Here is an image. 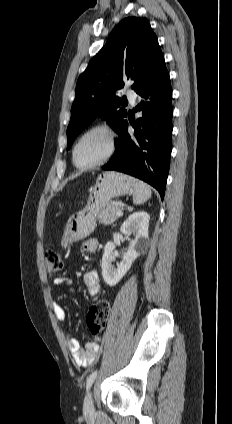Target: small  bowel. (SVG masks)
I'll list each match as a JSON object with an SVG mask.
<instances>
[{
  "mask_svg": "<svg viewBox=\"0 0 232 424\" xmlns=\"http://www.w3.org/2000/svg\"><path fill=\"white\" fill-rule=\"evenodd\" d=\"M97 247L98 240L95 238L86 240L83 245V249L88 252L95 251ZM83 279L86 284L88 293L92 296L97 295L100 291L99 273L95 270L86 272L83 276ZM72 283V279L68 276L56 277L53 280V288L51 291L53 293L72 295L75 293L72 287ZM52 309L55 317L59 321L64 322L67 320V311L61 304L58 302H53ZM66 343L69 353L75 364L81 367H90L95 363L100 351L98 342L96 340L88 343L85 348H81L77 339L67 335Z\"/></svg>",
  "mask_w": 232,
  "mask_h": 424,
  "instance_id": "c3829d8e",
  "label": "small bowel"
}]
</instances>
